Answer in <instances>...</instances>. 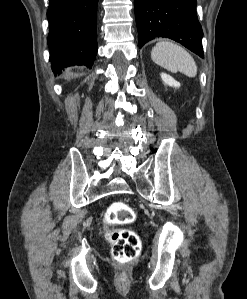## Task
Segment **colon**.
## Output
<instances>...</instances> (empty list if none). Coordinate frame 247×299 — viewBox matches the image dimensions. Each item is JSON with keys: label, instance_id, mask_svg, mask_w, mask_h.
<instances>
[{"label": "colon", "instance_id": "1", "mask_svg": "<svg viewBox=\"0 0 247 299\" xmlns=\"http://www.w3.org/2000/svg\"><path fill=\"white\" fill-rule=\"evenodd\" d=\"M136 214L131 206L118 201L112 203L105 214L109 226H123L134 222ZM107 240L112 245V255L120 263H129L140 254L141 241L138 234L127 228H114L107 232Z\"/></svg>", "mask_w": 247, "mask_h": 299}]
</instances>
